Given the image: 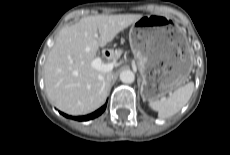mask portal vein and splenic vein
Returning a JSON list of instances; mask_svg holds the SVG:
<instances>
[{
    "instance_id": "1",
    "label": "portal vein and splenic vein",
    "mask_w": 230,
    "mask_h": 155,
    "mask_svg": "<svg viewBox=\"0 0 230 155\" xmlns=\"http://www.w3.org/2000/svg\"><path fill=\"white\" fill-rule=\"evenodd\" d=\"M91 65L98 71L109 72L114 68L115 62L103 63L102 59L100 57H97L92 61Z\"/></svg>"
}]
</instances>
